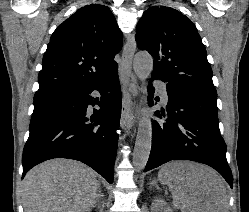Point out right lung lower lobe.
<instances>
[{
    "mask_svg": "<svg viewBox=\"0 0 249 212\" xmlns=\"http://www.w3.org/2000/svg\"><path fill=\"white\" fill-rule=\"evenodd\" d=\"M94 90L100 92V99L91 95ZM95 104L100 109H94L89 118L88 107ZM120 115L118 70L93 85L34 97L22 178L43 161L69 158L87 164L113 183Z\"/></svg>",
    "mask_w": 249,
    "mask_h": 212,
    "instance_id": "right-lung-lower-lobe-1",
    "label": "right lung lower lobe"
}]
</instances>
